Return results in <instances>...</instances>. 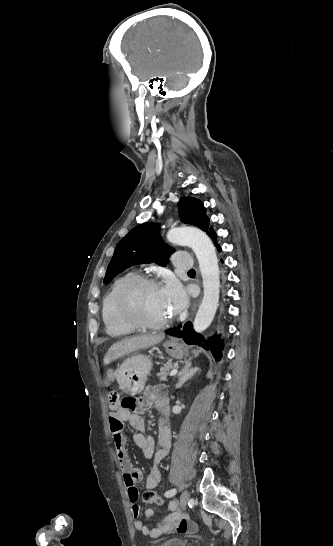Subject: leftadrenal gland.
<instances>
[{"mask_svg": "<svg viewBox=\"0 0 333 546\" xmlns=\"http://www.w3.org/2000/svg\"><path fill=\"white\" fill-rule=\"evenodd\" d=\"M198 368H191V362H185L182 370L178 373V382L175 388H181L183 384L196 374Z\"/></svg>", "mask_w": 333, "mask_h": 546, "instance_id": "left-adrenal-gland-1", "label": "left adrenal gland"}]
</instances>
